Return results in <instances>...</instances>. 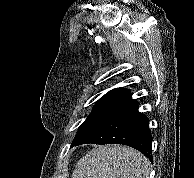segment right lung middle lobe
<instances>
[{"label":"right lung middle lobe","mask_w":194,"mask_h":178,"mask_svg":"<svg viewBox=\"0 0 194 178\" xmlns=\"http://www.w3.org/2000/svg\"><path fill=\"white\" fill-rule=\"evenodd\" d=\"M124 104L113 101L99 100L92 113L87 117L83 124L79 127L77 135L75 136L73 143L83 137L88 131L94 128L97 124L103 121L105 118L110 116Z\"/></svg>","instance_id":"obj_1"}]
</instances>
